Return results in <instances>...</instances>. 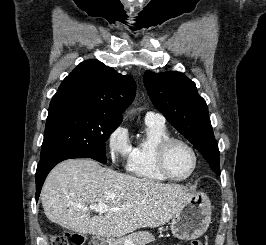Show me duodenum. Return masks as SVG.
I'll return each mask as SVG.
<instances>
[{
    "label": "duodenum",
    "instance_id": "1",
    "mask_svg": "<svg viewBox=\"0 0 266 245\" xmlns=\"http://www.w3.org/2000/svg\"><path fill=\"white\" fill-rule=\"evenodd\" d=\"M93 245H109L108 237H95Z\"/></svg>",
    "mask_w": 266,
    "mask_h": 245
}]
</instances>
